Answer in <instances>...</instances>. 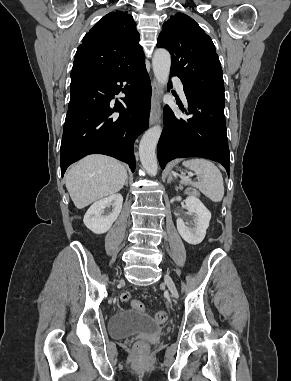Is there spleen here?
Listing matches in <instances>:
<instances>
[{"label":"spleen","instance_id":"spleen-1","mask_svg":"<svg viewBox=\"0 0 291 381\" xmlns=\"http://www.w3.org/2000/svg\"><path fill=\"white\" fill-rule=\"evenodd\" d=\"M183 165L193 170L199 178L198 181L191 183L193 186L213 202H220L223 199V177L220 170L211 161L195 158L184 161Z\"/></svg>","mask_w":291,"mask_h":381}]
</instances>
